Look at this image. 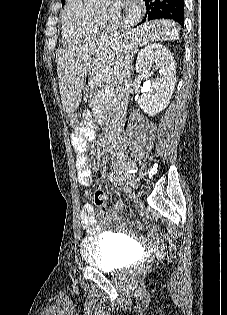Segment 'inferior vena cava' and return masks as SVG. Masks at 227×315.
<instances>
[{
	"mask_svg": "<svg viewBox=\"0 0 227 315\" xmlns=\"http://www.w3.org/2000/svg\"><path fill=\"white\" fill-rule=\"evenodd\" d=\"M121 12L119 9L111 11V19L102 34L104 37L115 38L118 35ZM132 66L127 57H123L115 70L114 91L110 103V125L108 130V147L111 154L121 150L120 135L124 126L130 93V76Z\"/></svg>",
	"mask_w": 227,
	"mask_h": 315,
	"instance_id": "1",
	"label": "inferior vena cava"
}]
</instances>
